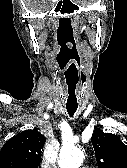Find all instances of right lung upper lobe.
Segmentation results:
<instances>
[{"label": "right lung upper lobe", "instance_id": "cb5924a9", "mask_svg": "<svg viewBox=\"0 0 127 168\" xmlns=\"http://www.w3.org/2000/svg\"><path fill=\"white\" fill-rule=\"evenodd\" d=\"M45 141L35 129L17 134L0 150V168H40Z\"/></svg>", "mask_w": 127, "mask_h": 168}]
</instances>
